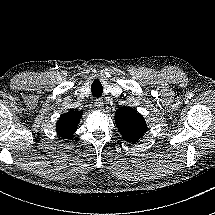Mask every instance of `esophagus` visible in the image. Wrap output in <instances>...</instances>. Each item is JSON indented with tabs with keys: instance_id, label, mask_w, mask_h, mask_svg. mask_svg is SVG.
Returning <instances> with one entry per match:
<instances>
[{
	"instance_id": "esophagus-1",
	"label": "esophagus",
	"mask_w": 215,
	"mask_h": 215,
	"mask_svg": "<svg viewBox=\"0 0 215 215\" xmlns=\"http://www.w3.org/2000/svg\"><path fill=\"white\" fill-rule=\"evenodd\" d=\"M94 105H95L96 108L102 109L103 106H104L103 99H101V98L96 99L95 102H94Z\"/></svg>"
}]
</instances>
